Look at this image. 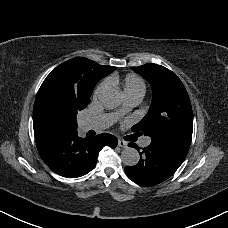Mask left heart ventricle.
Wrapping results in <instances>:
<instances>
[{
  "mask_svg": "<svg viewBox=\"0 0 228 228\" xmlns=\"http://www.w3.org/2000/svg\"><path fill=\"white\" fill-rule=\"evenodd\" d=\"M118 107H119L118 110L113 114V119L120 118L124 113L125 108L122 107V99H120V104Z\"/></svg>",
  "mask_w": 228,
  "mask_h": 228,
  "instance_id": "b2bd125f",
  "label": "left heart ventricle"
}]
</instances>
